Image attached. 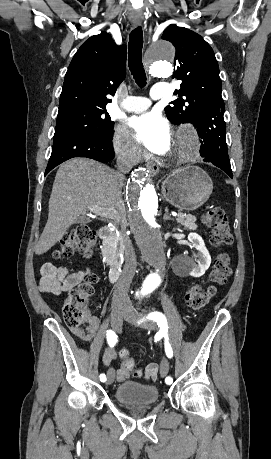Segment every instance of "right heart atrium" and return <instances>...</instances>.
Wrapping results in <instances>:
<instances>
[{
	"label": "right heart atrium",
	"mask_w": 271,
	"mask_h": 459,
	"mask_svg": "<svg viewBox=\"0 0 271 459\" xmlns=\"http://www.w3.org/2000/svg\"><path fill=\"white\" fill-rule=\"evenodd\" d=\"M113 146L117 154L129 163H136L143 157V150L132 139L127 129L123 126L115 128Z\"/></svg>",
	"instance_id": "d8ad5b80"
}]
</instances>
